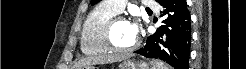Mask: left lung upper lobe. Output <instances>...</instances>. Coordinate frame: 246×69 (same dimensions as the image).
I'll return each instance as SVG.
<instances>
[{
	"instance_id": "left-lung-upper-lobe-1",
	"label": "left lung upper lobe",
	"mask_w": 246,
	"mask_h": 69,
	"mask_svg": "<svg viewBox=\"0 0 246 69\" xmlns=\"http://www.w3.org/2000/svg\"><path fill=\"white\" fill-rule=\"evenodd\" d=\"M100 0H91V4H95V3H98ZM158 3L163 1V0H156Z\"/></svg>"
}]
</instances>
